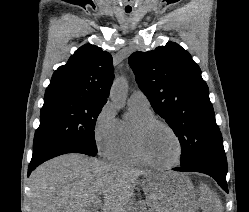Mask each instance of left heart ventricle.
<instances>
[{"label": "left heart ventricle", "mask_w": 249, "mask_h": 212, "mask_svg": "<svg viewBox=\"0 0 249 212\" xmlns=\"http://www.w3.org/2000/svg\"><path fill=\"white\" fill-rule=\"evenodd\" d=\"M147 155L157 163L170 164L177 160L179 146L174 136L160 126L153 127L144 137Z\"/></svg>", "instance_id": "obj_1"}]
</instances>
